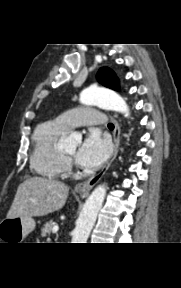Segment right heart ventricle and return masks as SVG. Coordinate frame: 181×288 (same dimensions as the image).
Returning <instances> with one entry per match:
<instances>
[{"instance_id":"right-heart-ventricle-1","label":"right heart ventricle","mask_w":181,"mask_h":288,"mask_svg":"<svg viewBox=\"0 0 181 288\" xmlns=\"http://www.w3.org/2000/svg\"><path fill=\"white\" fill-rule=\"evenodd\" d=\"M56 120L42 123L33 135L31 167L47 178H58L68 172L69 165L59 139L67 132Z\"/></svg>"}]
</instances>
